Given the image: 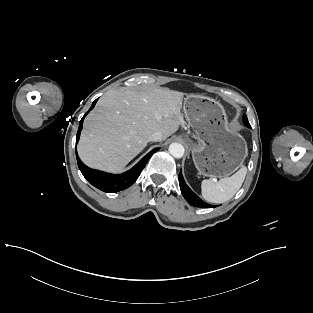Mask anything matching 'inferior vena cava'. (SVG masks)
<instances>
[{"instance_id":"1","label":"inferior vena cava","mask_w":313,"mask_h":313,"mask_svg":"<svg viewBox=\"0 0 313 313\" xmlns=\"http://www.w3.org/2000/svg\"><path fill=\"white\" fill-rule=\"evenodd\" d=\"M163 140V134L160 131L152 133L149 137V141H161Z\"/></svg>"}]
</instances>
